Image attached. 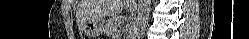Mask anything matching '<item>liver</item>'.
Returning a JSON list of instances; mask_svg holds the SVG:
<instances>
[{"label": "liver", "mask_w": 249, "mask_h": 39, "mask_svg": "<svg viewBox=\"0 0 249 39\" xmlns=\"http://www.w3.org/2000/svg\"><path fill=\"white\" fill-rule=\"evenodd\" d=\"M123 0H81L80 21L82 27L92 17L103 18L117 15L122 11Z\"/></svg>", "instance_id": "1"}]
</instances>
